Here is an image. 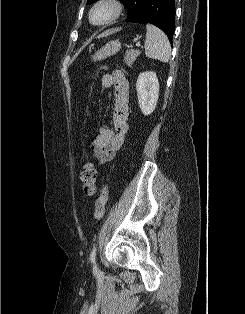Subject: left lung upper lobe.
Instances as JSON below:
<instances>
[{
    "label": "left lung upper lobe",
    "mask_w": 245,
    "mask_h": 314,
    "mask_svg": "<svg viewBox=\"0 0 245 314\" xmlns=\"http://www.w3.org/2000/svg\"><path fill=\"white\" fill-rule=\"evenodd\" d=\"M97 0H87V4H92ZM126 7L127 18L134 16L142 6L144 0H120Z\"/></svg>",
    "instance_id": "left-lung-upper-lobe-1"
}]
</instances>
